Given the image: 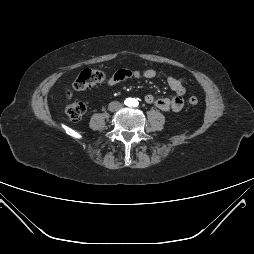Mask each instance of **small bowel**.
I'll return each instance as SVG.
<instances>
[{
  "label": "small bowel",
  "mask_w": 254,
  "mask_h": 254,
  "mask_svg": "<svg viewBox=\"0 0 254 254\" xmlns=\"http://www.w3.org/2000/svg\"><path fill=\"white\" fill-rule=\"evenodd\" d=\"M157 76V72L154 69H119L117 70L112 77L108 80V86H115L116 84L126 80V79H152ZM166 82L169 88L173 91L174 95L172 97H162L156 98L152 94H147L145 96V102L151 105H154L156 108L162 111H181L184 107L183 95L186 92L184 82L180 78L173 76H167Z\"/></svg>",
  "instance_id": "c3829d8e"
}]
</instances>
